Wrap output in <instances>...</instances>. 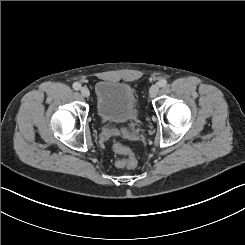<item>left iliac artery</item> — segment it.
Instances as JSON below:
<instances>
[{"label": "left iliac artery", "mask_w": 245, "mask_h": 245, "mask_svg": "<svg viewBox=\"0 0 245 245\" xmlns=\"http://www.w3.org/2000/svg\"><path fill=\"white\" fill-rule=\"evenodd\" d=\"M158 85L160 87H165L167 85V80H165V79L159 80Z\"/></svg>", "instance_id": "obj_1"}]
</instances>
